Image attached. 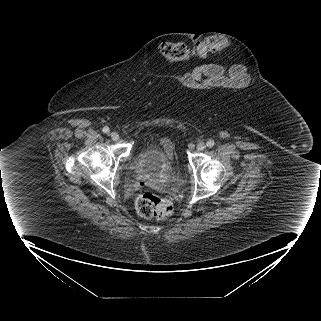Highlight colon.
Masks as SVG:
<instances>
[{
	"label": "colon",
	"instance_id": "obj_1",
	"mask_svg": "<svg viewBox=\"0 0 321 321\" xmlns=\"http://www.w3.org/2000/svg\"><path fill=\"white\" fill-rule=\"evenodd\" d=\"M225 47L226 41L223 37L213 36L201 41L194 48L183 42H167L161 45L160 52L168 62L182 63L192 57L206 58ZM135 208L144 218L165 219L173 212V205L169 200L151 192L140 194L135 200Z\"/></svg>",
	"mask_w": 321,
	"mask_h": 321
}]
</instances>
